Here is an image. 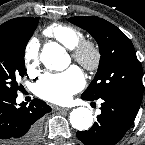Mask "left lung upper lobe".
<instances>
[{
    "label": "left lung upper lobe",
    "mask_w": 145,
    "mask_h": 145,
    "mask_svg": "<svg viewBox=\"0 0 145 145\" xmlns=\"http://www.w3.org/2000/svg\"><path fill=\"white\" fill-rule=\"evenodd\" d=\"M68 21L87 30L96 39L101 53L97 74L82 96L91 100L121 97L141 103L142 68L130 39L96 16H76Z\"/></svg>",
    "instance_id": "left-lung-upper-lobe-1"
}]
</instances>
